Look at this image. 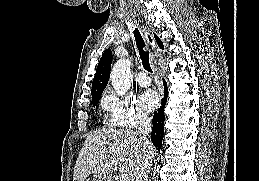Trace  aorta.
I'll return each mask as SVG.
<instances>
[{"instance_id":"obj_1","label":"aorta","mask_w":259,"mask_h":181,"mask_svg":"<svg viewBox=\"0 0 259 181\" xmlns=\"http://www.w3.org/2000/svg\"><path fill=\"white\" fill-rule=\"evenodd\" d=\"M131 65L130 59H120L112 68L110 80L119 96L125 95L131 86Z\"/></svg>"}]
</instances>
